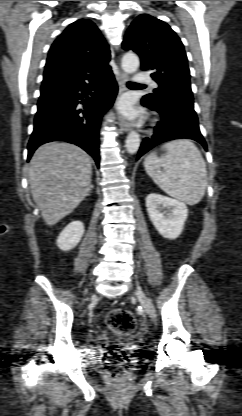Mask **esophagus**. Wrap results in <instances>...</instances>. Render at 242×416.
<instances>
[{
	"label": "esophagus",
	"instance_id": "34e87169",
	"mask_svg": "<svg viewBox=\"0 0 242 416\" xmlns=\"http://www.w3.org/2000/svg\"><path fill=\"white\" fill-rule=\"evenodd\" d=\"M128 81V75L126 73L121 72L118 77V85H119V95L123 93L125 90V83ZM119 126L122 131L129 132L131 130V125L123 118L119 119Z\"/></svg>",
	"mask_w": 242,
	"mask_h": 416
}]
</instances>
